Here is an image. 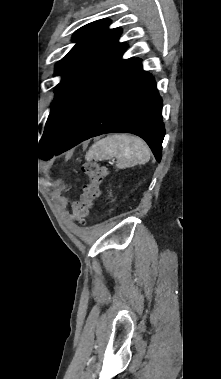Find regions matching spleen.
<instances>
[{
	"mask_svg": "<svg viewBox=\"0 0 221 379\" xmlns=\"http://www.w3.org/2000/svg\"><path fill=\"white\" fill-rule=\"evenodd\" d=\"M86 159L88 161L116 159V167L125 169L147 163L150 159V150L138 137L115 134L93 144Z\"/></svg>",
	"mask_w": 221,
	"mask_h": 379,
	"instance_id": "spleen-1",
	"label": "spleen"
}]
</instances>
